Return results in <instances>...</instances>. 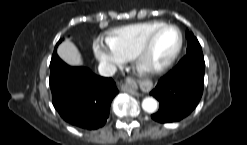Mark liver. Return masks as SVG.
I'll return each instance as SVG.
<instances>
[{"mask_svg": "<svg viewBox=\"0 0 247 145\" xmlns=\"http://www.w3.org/2000/svg\"><path fill=\"white\" fill-rule=\"evenodd\" d=\"M58 56L68 65L79 67L83 65L81 54L69 40L62 42L57 49Z\"/></svg>", "mask_w": 247, "mask_h": 145, "instance_id": "1", "label": "liver"}]
</instances>
